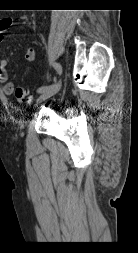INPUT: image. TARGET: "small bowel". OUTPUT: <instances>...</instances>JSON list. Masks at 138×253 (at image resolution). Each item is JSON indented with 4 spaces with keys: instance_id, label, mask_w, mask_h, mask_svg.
Returning a JSON list of instances; mask_svg holds the SVG:
<instances>
[{
    "instance_id": "small-bowel-1",
    "label": "small bowel",
    "mask_w": 138,
    "mask_h": 253,
    "mask_svg": "<svg viewBox=\"0 0 138 253\" xmlns=\"http://www.w3.org/2000/svg\"><path fill=\"white\" fill-rule=\"evenodd\" d=\"M14 24L11 18L0 19V44H6V31L8 27ZM25 59L32 62L35 59V50L33 47L28 46L24 53ZM0 83L3 84V91L6 95H12L14 92V84L9 81V74L7 70V61L0 59Z\"/></svg>"
}]
</instances>
